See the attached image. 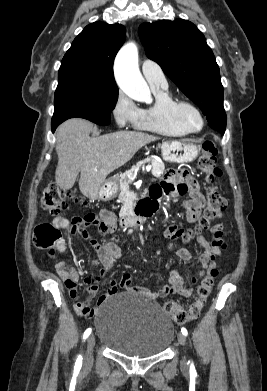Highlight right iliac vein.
Segmentation results:
<instances>
[{"label":"right iliac vein","mask_w":267,"mask_h":391,"mask_svg":"<svg viewBox=\"0 0 267 391\" xmlns=\"http://www.w3.org/2000/svg\"><path fill=\"white\" fill-rule=\"evenodd\" d=\"M95 346V336L94 334H91L88 339H87V348H86V353H85V361L84 364L90 365L92 362V357H93V348Z\"/></svg>","instance_id":"obj_1"}]
</instances>
